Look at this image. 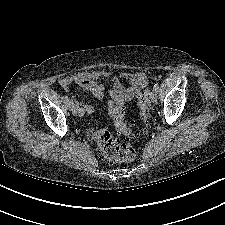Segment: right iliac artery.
<instances>
[{
  "instance_id": "82829eb1",
  "label": "right iliac artery",
  "mask_w": 225,
  "mask_h": 225,
  "mask_svg": "<svg viewBox=\"0 0 225 225\" xmlns=\"http://www.w3.org/2000/svg\"><path fill=\"white\" fill-rule=\"evenodd\" d=\"M73 104H74V102L71 100V101H70V107H71Z\"/></svg>"
}]
</instances>
